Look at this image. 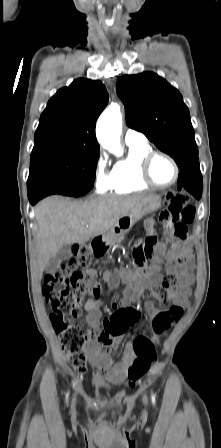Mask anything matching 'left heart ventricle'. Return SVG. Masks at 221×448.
Here are the masks:
<instances>
[{
	"instance_id": "b2bd125f",
	"label": "left heart ventricle",
	"mask_w": 221,
	"mask_h": 448,
	"mask_svg": "<svg viewBox=\"0 0 221 448\" xmlns=\"http://www.w3.org/2000/svg\"><path fill=\"white\" fill-rule=\"evenodd\" d=\"M151 172L153 178L160 184H168L175 177L173 165L163 156H159L153 161Z\"/></svg>"
}]
</instances>
